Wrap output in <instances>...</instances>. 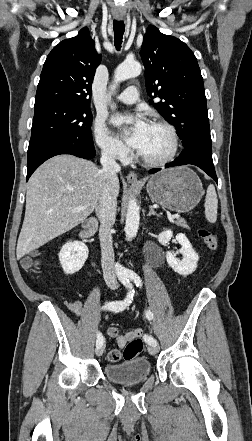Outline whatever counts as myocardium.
Wrapping results in <instances>:
<instances>
[{"instance_id":"1","label":"myocardium","mask_w":252,"mask_h":441,"mask_svg":"<svg viewBox=\"0 0 252 441\" xmlns=\"http://www.w3.org/2000/svg\"><path fill=\"white\" fill-rule=\"evenodd\" d=\"M150 125L161 127L167 131V133L169 134L170 139H171V150L165 157H163L161 159H149V158L144 157L141 153H139L138 156H139V159L141 160V162L145 166L154 167V168L163 167V166L167 165L168 163H170L175 158V156L178 152V149H179L178 134H177L174 126H172L170 123H168L164 120H158V119L153 120L150 123Z\"/></svg>"}]
</instances>
